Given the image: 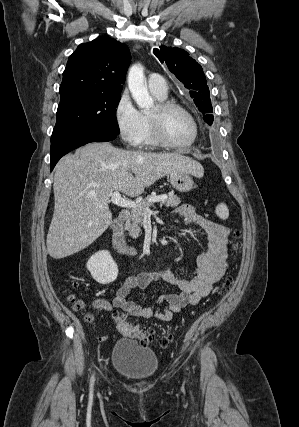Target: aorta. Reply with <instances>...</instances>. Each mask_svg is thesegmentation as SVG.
Segmentation results:
<instances>
[{
  "mask_svg": "<svg viewBox=\"0 0 299 427\" xmlns=\"http://www.w3.org/2000/svg\"><path fill=\"white\" fill-rule=\"evenodd\" d=\"M128 87L139 108L149 109L153 107V99L149 95L144 68L141 64L138 63L131 66L128 73Z\"/></svg>",
  "mask_w": 299,
  "mask_h": 427,
  "instance_id": "obj_1",
  "label": "aorta"
}]
</instances>
